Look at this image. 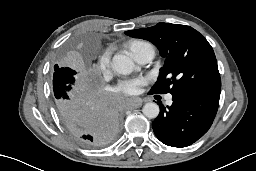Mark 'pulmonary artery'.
Here are the masks:
<instances>
[{
	"instance_id": "pulmonary-artery-1",
	"label": "pulmonary artery",
	"mask_w": 256,
	"mask_h": 171,
	"mask_svg": "<svg viewBox=\"0 0 256 171\" xmlns=\"http://www.w3.org/2000/svg\"><path fill=\"white\" fill-rule=\"evenodd\" d=\"M154 55H155V50H154L153 47H151V48H148V49L143 50L142 52H140L138 54L136 60L140 64H147L153 59ZM166 103L167 104L172 103V96L171 95L167 96Z\"/></svg>"
}]
</instances>
